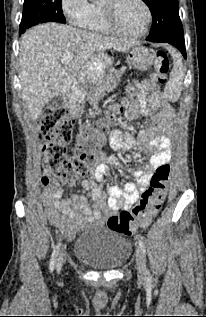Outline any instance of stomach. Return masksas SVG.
Segmentation results:
<instances>
[{"label": "stomach", "instance_id": "0dacf381", "mask_svg": "<svg viewBox=\"0 0 206 317\" xmlns=\"http://www.w3.org/2000/svg\"><path fill=\"white\" fill-rule=\"evenodd\" d=\"M126 70H137L148 65L150 57L153 56L152 50L140 45H134L127 51ZM114 65L113 55H92V59H86L83 66L79 68V76H75V83H78V88L81 94L89 91L91 86H100L103 77L113 72ZM86 89L85 91L83 89ZM89 94H94L89 92Z\"/></svg>", "mask_w": 206, "mask_h": 317}]
</instances>
